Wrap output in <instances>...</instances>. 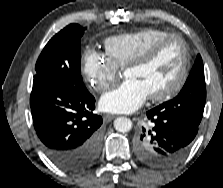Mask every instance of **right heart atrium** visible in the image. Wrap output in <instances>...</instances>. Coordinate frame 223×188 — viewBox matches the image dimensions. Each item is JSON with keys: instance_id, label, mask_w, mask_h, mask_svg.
Masks as SVG:
<instances>
[{"instance_id": "obj_1", "label": "right heart atrium", "mask_w": 223, "mask_h": 188, "mask_svg": "<svg viewBox=\"0 0 223 188\" xmlns=\"http://www.w3.org/2000/svg\"><path fill=\"white\" fill-rule=\"evenodd\" d=\"M119 69L105 54L87 51L82 62V75L96 92L106 91L116 80Z\"/></svg>"}]
</instances>
